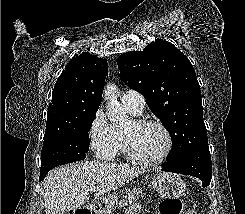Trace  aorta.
Returning <instances> with one entry per match:
<instances>
[{
  "label": "aorta",
  "mask_w": 245,
  "mask_h": 214,
  "mask_svg": "<svg viewBox=\"0 0 245 214\" xmlns=\"http://www.w3.org/2000/svg\"><path fill=\"white\" fill-rule=\"evenodd\" d=\"M117 86L113 83L106 85L104 90V97L107 100V117L111 124L116 127L124 126L128 121L124 109L117 101Z\"/></svg>",
  "instance_id": "obj_1"
}]
</instances>
